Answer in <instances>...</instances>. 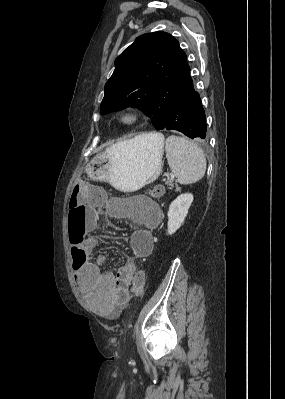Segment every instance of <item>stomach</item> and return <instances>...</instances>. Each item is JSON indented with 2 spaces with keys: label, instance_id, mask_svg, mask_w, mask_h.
<instances>
[{
  "label": "stomach",
  "instance_id": "0dacf381",
  "mask_svg": "<svg viewBox=\"0 0 285 399\" xmlns=\"http://www.w3.org/2000/svg\"><path fill=\"white\" fill-rule=\"evenodd\" d=\"M163 148L164 137L159 133L137 136L98 153L86 166V173L121 191H135L159 177Z\"/></svg>",
  "mask_w": 285,
  "mask_h": 399
}]
</instances>
